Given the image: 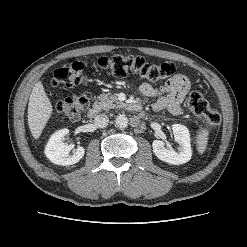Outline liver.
Segmentation results:
<instances>
[{"label": "liver", "mask_w": 247, "mask_h": 247, "mask_svg": "<svg viewBox=\"0 0 247 247\" xmlns=\"http://www.w3.org/2000/svg\"><path fill=\"white\" fill-rule=\"evenodd\" d=\"M53 112L43 84L38 81L30 94L28 103V125L34 139H39Z\"/></svg>", "instance_id": "liver-1"}]
</instances>
